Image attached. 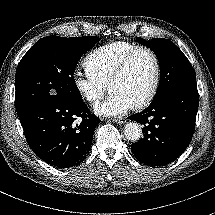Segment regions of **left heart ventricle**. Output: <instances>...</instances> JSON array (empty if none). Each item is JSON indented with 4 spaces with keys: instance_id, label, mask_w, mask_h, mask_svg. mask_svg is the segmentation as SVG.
Masks as SVG:
<instances>
[{
    "instance_id": "1",
    "label": "left heart ventricle",
    "mask_w": 215,
    "mask_h": 215,
    "mask_svg": "<svg viewBox=\"0 0 215 215\" xmlns=\"http://www.w3.org/2000/svg\"><path fill=\"white\" fill-rule=\"evenodd\" d=\"M154 76V63L150 54L138 52L130 61L125 72L108 85L111 93L125 95L135 105L148 93Z\"/></svg>"
}]
</instances>
